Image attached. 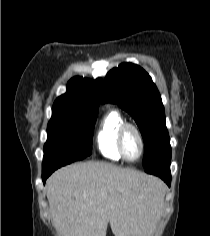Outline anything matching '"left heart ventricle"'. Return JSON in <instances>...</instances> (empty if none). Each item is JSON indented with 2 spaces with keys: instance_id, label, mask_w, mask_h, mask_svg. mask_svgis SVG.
Masks as SVG:
<instances>
[{
  "instance_id": "obj_1",
  "label": "left heart ventricle",
  "mask_w": 210,
  "mask_h": 236,
  "mask_svg": "<svg viewBox=\"0 0 210 236\" xmlns=\"http://www.w3.org/2000/svg\"><path fill=\"white\" fill-rule=\"evenodd\" d=\"M123 148L126 156L134 159L138 156L140 143L136 133L133 130H127L123 140Z\"/></svg>"
}]
</instances>
